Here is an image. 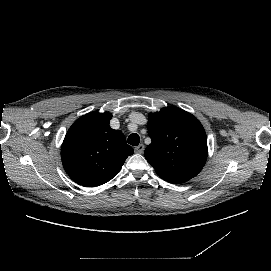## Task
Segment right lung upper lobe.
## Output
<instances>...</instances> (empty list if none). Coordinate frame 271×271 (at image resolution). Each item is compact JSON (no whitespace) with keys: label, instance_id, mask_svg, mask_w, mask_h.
I'll return each instance as SVG.
<instances>
[{"label":"right lung upper lobe","instance_id":"cb5924a9","mask_svg":"<svg viewBox=\"0 0 271 271\" xmlns=\"http://www.w3.org/2000/svg\"><path fill=\"white\" fill-rule=\"evenodd\" d=\"M111 118L109 112H90L77 119L65 136L62 164L79 185L93 187L110 181L134 152L124 134L109 126Z\"/></svg>","mask_w":271,"mask_h":271}]
</instances>
